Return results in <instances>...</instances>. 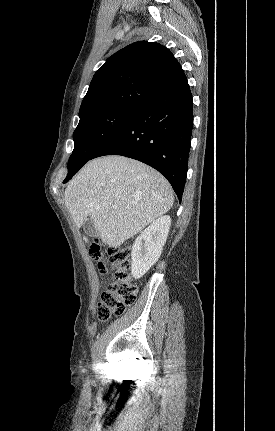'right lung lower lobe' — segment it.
I'll use <instances>...</instances> for the list:
<instances>
[{"mask_svg": "<svg viewBox=\"0 0 275 431\" xmlns=\"http://www.w3.org/2000/svg\"><path fill=\"white\" fill-rule=\"evenodd\" d=\"M192 108V95L185 79L139 107L91 159L122 155L146 163L168 179L181 200L193 129Z\"/></svg>", "mask_w": 275, "mask_h": 431, "instance_id": "1", "label": "right lung lower lobe"}]
</instances>
